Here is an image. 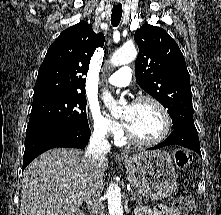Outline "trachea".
I'll list each match as a JSON object with an SVG mask.
<instances>
[{"label":"trachea","mask_w":221,"mask_h":215,"mask_svg":"<svg viewBox=\"0 0 221 215\" xmlns=\"http://www.w3.org/2000/svg\"><path fill=\"white\" fill-rule=\"evenodd\" d=\"M122 17V5H114L112 9V15H111V24L116 27L119 25Z\"/></svg>","instance_id":"3493384b"}]
</instances>
